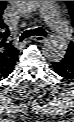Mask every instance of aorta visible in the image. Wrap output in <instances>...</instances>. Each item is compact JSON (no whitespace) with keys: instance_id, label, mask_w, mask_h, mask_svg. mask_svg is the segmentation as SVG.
<instances>
[{"instance_id":"1","label":"aorta","mask_w":74,"mask_h":122,"mask_svg":"<svg viewBox=\"0 0 74 122\" xmlns=\"http://www.w3.org/2000/svg\"><path fill=\"white\" fill-rule=\"evenodd\" d=\"M41 1H12V4L23 14H31L41 7ZM68 44L60 36L48 39L43 47L45 56L50 61L58 62L63 59L67 52Z\"/></svg>"}]
</instances>
